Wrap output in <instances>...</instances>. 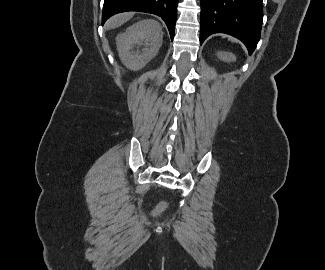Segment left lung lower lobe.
Here are the masks:
<instances>
[{"label":"left lung lower lobe","instance_id":"left-lung-lower-lobe-1","mask_svg":"<svg viewBox=\"0 0 325 270\" xmlns=\"http://www.w3.org/2000/svg\"><path fill=\"white\" fill-rule=\"evenodd\" d=\"M263 20L262 0H201L200 44L214 33L241 40L251 54Z\"/></svg>","mask_w":325,"mask_h":270}]
</instances>
